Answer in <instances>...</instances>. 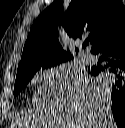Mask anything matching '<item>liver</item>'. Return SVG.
Instances as JSON below:
<instances>
[{
    "mask_svg": "<svg viewBox=\"0 0 125 128\" xmlns=\"http://www.w3.org/2000/svg\"><path fill=\"white\" fill-rule=\"evenodd\" d=\"M109 95L98 79L69 73L38 89L34 109L20 122L31 128H115Z\"/></svg>",
    "mask_w": 125,
    "mask_h": 128,
    "instance_id": "obj_1",
    "label": "liver"
}]
</instances>
